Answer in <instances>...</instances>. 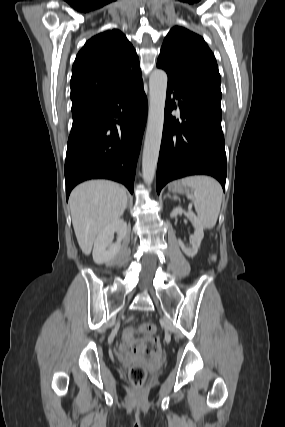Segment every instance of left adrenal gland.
Returning <instances> with one entry per match:
<instances>
[{
    "label": "left adrenal gland",
    "mask_w": 285,
    "mask_h": 427,
    "mask_svg": "<svg viewBox=\"0 0 285 427\" xmlns=\"http://www.w3.org/2000/svg\"><path fill=\"white\" fill-rule=\"evenodd\" d=\"M166 197H169V198H170V195H169V194H167L164 198H166Z\"/></svg>",
    "instance_id": "a2214340"
}]
</instances>
